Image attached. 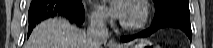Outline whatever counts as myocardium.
Instances as JSON below:
<instances>
[{
	"mask_svg": "<svg viewBox=\"0 0 213 48\" xmlns=\"http://www.w3.org/2000/svg\"><path fill=\"white\" fill-rule=\"evenodd\" d=\"M129 6L136 8L140 13V17L134 22H126L121 20V27L126 31H136L143 28L146 25L150 14L146 3L144 1L133 0L129 2Z\"/></svg>",
	"mask_w": 213,
	"mask_h": 48,
	"instance_id": "obj_1",
	"label": "myocardium"
}]
</instances>
